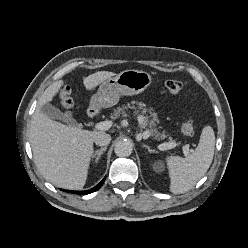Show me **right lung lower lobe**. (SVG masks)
Here are the masks:
<instances>
[{
	"label": "right lung lower lobe",
	"instance_id": "98d812e1",
	"mask_svg": "<svg viewBox=\"0 0 248 248\" xmlns=\"http://www.w3.org/2000/svg\"><path fill=\"white\" fill-rule=\"evenodd\" d=\"M104 181H105V178L98 185H96L94 188H92L91 190H85V191L63 190V191H67V192H70V193H76V194H80V195L90 194V193H92L94 191H97L103 185Z\"/></svg>",
	"mask_w": 248,
	"mask_h": 248
}]
</instances>
